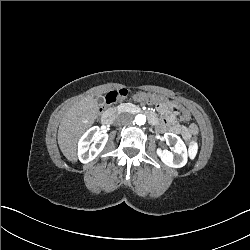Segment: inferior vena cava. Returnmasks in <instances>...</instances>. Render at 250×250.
<instances>
[{"label":"inferior vena cava","instance_id":"inferior-vena-cava-1","mask_svg":"<svg viewBox=\"0 0 250 250\" xmlns=\"http://www.w3.org/2000/svg\"><path fill=\"white\" fill-rule=\"evenodd\" d=\"M133 116L132 114L125 112L121 113L115 120L116 125H129L133 122Z\"/></svg>","mask_w":250,"mask_h":250}]
</instances>
